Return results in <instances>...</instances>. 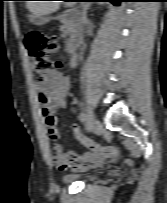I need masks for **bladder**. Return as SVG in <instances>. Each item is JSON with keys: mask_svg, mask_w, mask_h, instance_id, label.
I'll list each match as a JSON object with an SVG mask.
<instances>
[{"mask_svg": "<svg viewBox=\"0 0 167 203\" xmlns=\"http://www.w3.org/2000/svg\"><path fill=\"white\" fill-rule=\"evenodd\" d=\"M98 174L95 173H70L61 177V181L64 183H72L76 181H94L98 178Z\"/></svg>", "mask_w": 167, "mask_h": 203, "instance_id": "1", "label": "bladder"}]
</instances>
